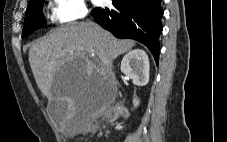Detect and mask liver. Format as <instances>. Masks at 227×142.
I'll list each match as a JSON object with an SVG mask.
<instances>
[{"instance_id": "6515ba94", "label": "liver", "mask_w": 227, "mask_h": 142, "mask_svg": "<svg viewBox=\"0 0 227 142\" xmlns=\"http://www.w3.org/2000/svg\"><path fill=\"white\" fill-rule=\"evenodd\" d=\"M134 46L133 40H119L100 26L91 27L87 23L54 28L47 38L31 46L29 63L38 88L50 103L54 100L68 103L70 114L65 134L93 90L92 82L107 81L114 89L117 82L112 62ZM68 61H85V66H68ZM58 73H82V78H58Z\"/></svg>"}]
</instances>
